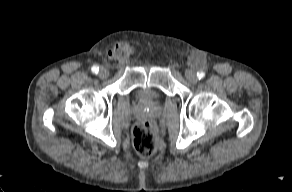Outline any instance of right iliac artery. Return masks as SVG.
<instances>
[{
    "label": "right iliac artery",
    "instance_id": "right-iliac-artery-1",
    "mask_svg": "<svg viewBox=\"0 0 292 192\" xmlns=\"http://www.w3.org/2000/svg\"><path fill=\"white\" fill-rule=\"evenodd\" d=\"M91 71H92L93 73L97 74V73L99 72V67H98V66H93V67L91 68Z\"/></svg>",
    "mask_w": 292,
    "mask_h": 192
}]
</instances>
